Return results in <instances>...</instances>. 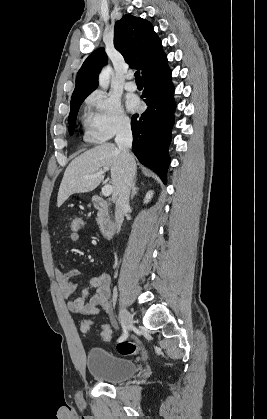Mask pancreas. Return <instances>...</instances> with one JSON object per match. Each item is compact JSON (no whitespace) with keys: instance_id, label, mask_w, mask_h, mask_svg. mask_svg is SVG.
<instances>
[{"instance_id":"1","label":"pancreas","mask_w":267,"mask_h":419,"mask_svg":"<svg viewBox=\"0 0 267 419\" xmlns=\"http://www.w3.org/2000/svg\"><path fill=\"white\" fill-rule=\"evenodd\" d=\"M97 224L101 225L104 221V214L102 212H98L97 213V218H96Z\"/></svg>"}]
</instances>
